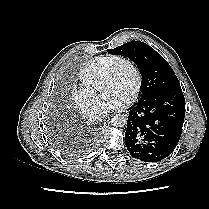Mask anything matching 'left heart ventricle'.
Returning a JSON list of instances; mask_svg holds the SVG:
<instances>
[{
	"mask_svg": "<svg viewBox=\"0 0 209 209\" xmlns=\"http://www.w3.org/2000/svg\"><path fill=\"white\" fill-rule=\"evenodd\" d=\"M134 81L132 69L128 65H122L115 78L104 86L103 93L106 97L119 94L128 98Z\"/></svg>",
	"mask_w": 209,
	"mask_h": 209,
	"instance_id": "obj_1",
	"label": "left heart ventricle"
}]
</instances>
